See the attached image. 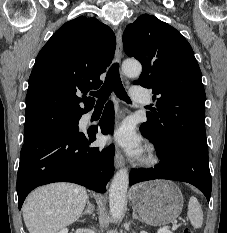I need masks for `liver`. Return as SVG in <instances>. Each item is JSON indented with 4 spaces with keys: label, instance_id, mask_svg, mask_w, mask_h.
Instances as JSON below:
<instances>
[{
    "label": "liver",
    "instance_id": "liver-1",
    "mask_svg": "<svg viewBox=\"0 0 227 233\" xmlns=\"http://www.w3.org/2000/svg\"><path fill=\"white\" fill-rule=\"evenodd\" d=\"M85 188L54 183L34 190L25 200L22 212L29 233H57L81 216L87 202Z\"/></svg>",
    "mask_w": 227,
    "mask_h": 233
}]
</instances>
